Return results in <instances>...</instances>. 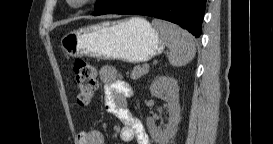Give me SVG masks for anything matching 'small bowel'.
<instances>
[{
    "instance_id": "1",
    "label": "small bowel",
    "mask_w": 273,
    "mask_h": 144,
    "mask_svg": "<svg viewBox=\"0 0 273 144\" xmlns=\"http://www.w3.org/2000/svg\"><path fill=\"white\" fill-rule=\"evenodd\" d=\"M99 78L104 84V104L107 111L123 124L120 139L125 143L135 140L137 144H150V138L142 123L128 109L127 104L132 93L118 71L113 67L104 66L100 69ZM77 143L104 144L105 136L97 129L83 130L77 134Z\"/></svg>"
}]
</instances>
